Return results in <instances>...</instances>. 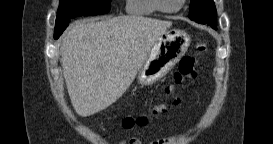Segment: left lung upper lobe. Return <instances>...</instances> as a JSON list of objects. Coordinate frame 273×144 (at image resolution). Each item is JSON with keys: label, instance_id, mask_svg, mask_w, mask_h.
I'll return each instance as SVG.
<instances>
[{"label": "left lung upper lobe", "instance_id": "1", "mask_svg": "<svg viewBox=\"0 0 273 144\" xmlns=\"http://www.w3.org/2000/svg\"><path fill=\"white\" fill-rule=\"evenodd\" d=\"M209 11H216L213 0H191L189 18L195 20Z\"/></svg>", "mask_w": 273, "mask_h": 144}]
</instances>
